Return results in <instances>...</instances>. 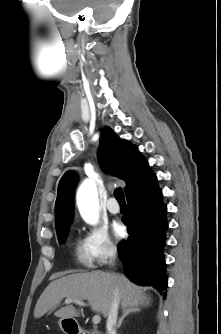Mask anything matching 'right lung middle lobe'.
<instances>
[{
  "mask_svg": "<svg viewBox=\"0 0 221 334\" xmlns=\"http://www.w3.org/2000/svg\"><path fill=\"white\" fill-rule=\"evenodd\" d=\"M67 232H68V227H65V228H63V229L57 231L59 242H62V243L65 242Z\"/></svg>",
  "mask_w": 221,
  "mask_h": 334,
  "instance_id": "obj_1",
  "label": "right lung middle lobe"
}]
</instances>
